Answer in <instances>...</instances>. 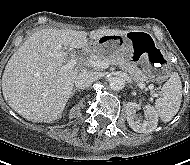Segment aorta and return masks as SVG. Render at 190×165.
Here are the masks:
<instances>
[{
  "label": "aorta",
  "instance_id": "obj_1",
  "mask_svg": "<svg viewBox=\"0 0 190 165\" xmlns=\"http://www.w3.org/2000/svg\"><path fill=\"white\" fill-rule=\"evenodd\" d=\"M126 80L122 76H114L110 78L109 85L114 90H121L125 87Z\"/></svg>",
  "mask_w": 190,
  "mask_h": 165
}]
</instances>
